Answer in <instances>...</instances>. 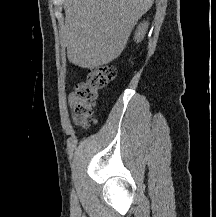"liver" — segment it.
<instances>
[{"label": "liver", "instance_id": "liver-1", "mask_svg": "<svg viewBox=\"0 0 216 217\" xmlns=\"http://www.w3.org/2000/svg\"><path fill=\"white\" fill-rule=\"evenodd\" d=\"M154 0H65L61 46L68 60L98 68L124 50L132 29Z\"/></svg>", "mask_w": 216, "mask_h": 217}]
</instances>
